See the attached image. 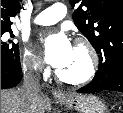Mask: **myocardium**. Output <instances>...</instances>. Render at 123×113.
I'll use <instances>...</instances> for the list:
<instances>
[{"label":"myocardium","instance_id":"f54148a6","mask_svg":"<svg viewBox=\"0 0 123 113\" xmlns=\"http://www.w3.org/2000/svg\"><path fill=\"white\" fill-rule=\"evenodd\" d=\"M75 47L83 50L87 56V69L79 76L71 77L63 75L59 69L55 71L56 78L61 82L80 85L85 84L93 80L97 74L99 57L95 47L86 38L79 37L75 41Z\"/></svg>","mask_w":123,"mask_h":113}]
</instances>
